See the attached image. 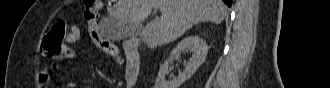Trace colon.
Here are the masks:
<instances>
[{
	"label": "colon",
	"mask_w": 330,
	"mask_h": 88,
	"mask_svg": "<svg viewBox=\"0 0 330 88\" xmlns=\"http://www.w3.org/2000/svg\"><path fill=\"white\" fill-rule=\"evenodd\" d=\"M101 10V1L89 0L84 4V17L87 21L91 39L94 45L104 51L114 49L115 46L108 40L104 39L98 32L96 20ZM67 36V25L64 21H59L44 36L41 51L42 53L55 61H57L64 51V41ZM118 56V55H116Z\"/></svg>",
	"instance_id": "obj_1"
}]
</instances>
